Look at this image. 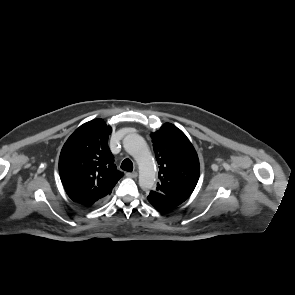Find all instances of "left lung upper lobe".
Segmentation results:
<instances>
[{
    "mask_svg": "<svg viewBox=\"0 0 295 295\" xmlns=\"http://www.w3.org/2000/svg\"><path fill=\"white\" fill-rule=\"evenodd\" d=\"M153 149L159 164L156 192L186 201L199 179L197 153L186 135L175 125L165 123L151 134Z\"/></svg>",
    "mask_w": 295,
    "mask_h": 295,
    "instance_id": "1",
    "label": "left lung upper lobe"
}]
</instances>
